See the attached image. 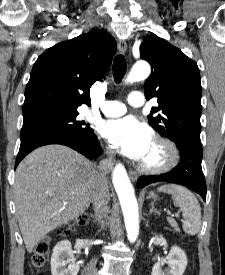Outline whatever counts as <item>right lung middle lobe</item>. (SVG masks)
<instances>
[{"mask_svg":"<svg viewBox=\"0 0 225 275\" xmlns=\"http://www.w3.org/2000/svg\"><path fill=\"white\" fill-rule=\"evenodd\" d=\"M77 110L73 111H47L23 116V126L31 124H45L56 126L77 135H91L93 129L84 121H78Z\"/></svg>","mask_w":225,"mask_h":275,"instance_id":"dd1d6c3e","label":"right lung middle lobe"}]
</instances>
